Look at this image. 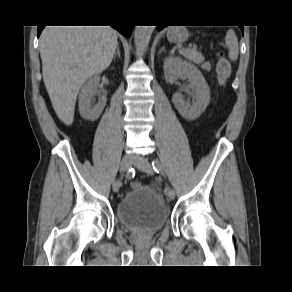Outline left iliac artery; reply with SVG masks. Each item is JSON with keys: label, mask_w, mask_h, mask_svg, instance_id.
<instances>
[{"label": "left iliac artery", "mask_w": 292, "mask_h": 292, "mask_svg": "<svg viewBox=\"0 0 292 292\" xmlns=\"http://www.w3.org/2000/svg\"><path fill=\"white\" fill-rule=\"evenodd\" d=\"M152 166H153L154 171H156L157 173L163 174V167L157 159L152 160ZM170 189L171 188L169 186H166L165 193H167Z\"/></svg>", "instance_id": "44dca946"}]
</instances>
